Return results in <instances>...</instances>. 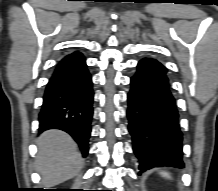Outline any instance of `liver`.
<instances>
[{"label": "liver", "instance_id": "6515ba94", "mask_svg": "<svg viewBox=\"0 0 218 191\" xmlns=\"http://www.w3.org/2000/svg\"><path fill=\"white\" fill-rule=\"evenodd\" d=\"M36 170L42 184L53 187L76 176L83 167V159L74 140L60 130L45 131L37 140Z\"/></svg>", "mask_w": 218, "mask_h": 191}]
</instances>
